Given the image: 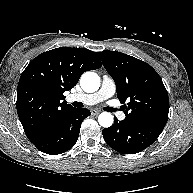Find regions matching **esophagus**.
<instances>
[{"label":"esophagus","instance_id":"1","mask_svg":"<svg viewBox=\"0 0 193 193\" xmlns=\"http://www.w3.org/2000/svg\"><path fill=\"white\" fill-rule=\"evenodd\" d=\"M100 112H101V111H100V110H97V109H92V110H91V114H92L93 116H97Z\"/></svg>","mask_w":193,"mask_h":193}]
</instances>
